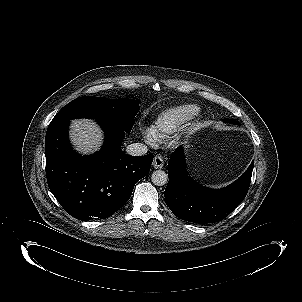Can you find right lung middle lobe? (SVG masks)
Returning <instances> with one entry per match:
<instances>
[{
  "mask_svg": "<svg viewBox=\"0 0 302 302\" xmlns=\"http://www.w3.org/2000/svg\"><path fill=\"white\" fill-rule=\"evenodd\" d=\"M139 108V101L133 99L79 97L64 106L55 115L50 125L77 118H89L98 122L113 123L126 133H130Z\"/></svg>",
  "mask_w": 302,
  "mask_h": 302,
  "instance_id": "1",
  "label": "right lung middle lobe"
}]
</instances>
